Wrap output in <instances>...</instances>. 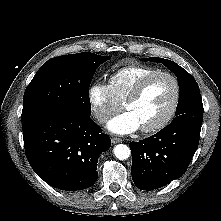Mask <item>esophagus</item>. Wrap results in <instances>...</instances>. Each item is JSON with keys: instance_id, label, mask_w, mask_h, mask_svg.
Masks as SVG:
<instances>
[{"instance_id": "obj_1", "label": "esophagus", "mask_w": 221, "mask_h": 221, "mask_svg": "<svg viewBox=\"0 0 221 221\" xmlns=\"http://www.w3.org/2000/svg\"><path fill=\"white\" fill-rule=\"evenodd\" d=\"M111 141L113 144H117V143L122 142V139L118 137H112Z\"/></svg>"}]
</instances>
